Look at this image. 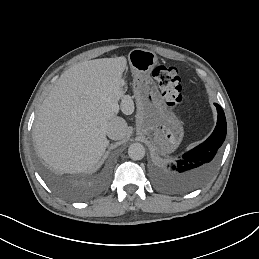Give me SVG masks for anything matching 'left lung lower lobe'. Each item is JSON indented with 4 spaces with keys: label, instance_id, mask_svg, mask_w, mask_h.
I'll return each mask as SVG.
<instances>
[{
    "label": "left lung lower lobe",
    "instance_id": "left-lung-lower-lobe-1",
    "mask_svg": "<svg viewBox=\"0 0 259 259\" xmlns=\"http://www.w3.org/2000/svg\"><path fill=\"white\" fill-rule=\"evenodd\" d=\"M217 108V125L210 137L185 153L182 158L167 168H158L157 178L159 181L182 185L195 183L208 176L216 167L218 153L226 136V118L221 106L214 104Z\"/></svg>",
    "mask_w": 259,
    "mask_h": 259
}]
</instances>
